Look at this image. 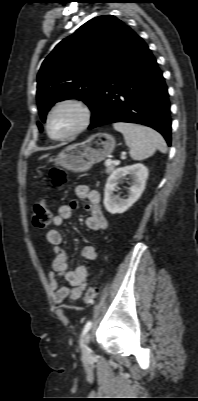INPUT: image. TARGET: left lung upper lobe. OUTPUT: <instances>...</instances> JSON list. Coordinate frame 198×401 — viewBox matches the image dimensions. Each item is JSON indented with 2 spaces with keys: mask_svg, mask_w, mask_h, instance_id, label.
Listing matches in <instances>:
<instances>
[{
  "mask_svg": "<svg viewBox=\"0 0 198 401\" xmlns=\"http://www.w3.org/2000/svg\"><path fill=\"white\" fill-rule=\"evenodd\" d=\"M136 37L129 26L107 15L91 19L62 40L38 73L36 97L41 120L45 121L51 106L65 99L82 100L92 110L106 79Z\"/></svg>",
  "mask_w": 198,
  "mask_h": 401,
  "instance_id": "obj_1",
  "label": "left lung upper lobe"
}]
</instances>
